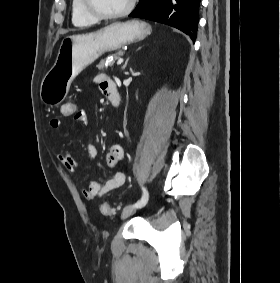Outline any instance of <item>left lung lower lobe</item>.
<instances>
[{
	"instance_id": "1",
	"label": "left lung lower lobe",
	"mask_w": 280,
	"mask_h": 283,
	"mask_svg": "<svg viewBox=\"0 0 280 283\" xmlns=\"http://www.w3.org/2000/svg\"><path fill=\"white\" fill-rule=\"evenodd\" d=\"M201 0H140L129 17L149 19L175 27L195 42Z\"/></svg>"
}]
</instances>
